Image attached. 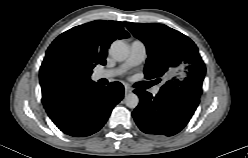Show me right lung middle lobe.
<instances>
[{"label":"right lung middle lobe","instance_id":"right-lung-middle-lobe-1","mask_svg":"<svg viewBox=\"0 0 248 158\" xmlns=\"http://www.w3.org/2000/svg\"><path fill=\"white\" fill-rule=\"evenodd\" d=\"M68 66H69V64H68V62L66 60L61 61V67L62 68L66 69V68H68Z\"/></svg>","mask_w":248,"mask_h":158}]
</instances>
